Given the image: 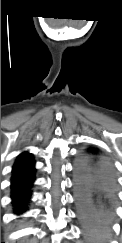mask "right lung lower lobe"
Listing matches in <instances>:
<instances>
[{"label": "right lung lower lobe", "instance_id": "98d812e1", "mask_svg": "<svg viewBox=\"0 0 122 243\" xmlns=\"http://www.w3.org/2000/svg\"><path fill=\"white\" fill-rule=\"evenodd\" d=\"M34 166H29L13 172L11 179V198L17 213L26 210V203L31 196V186L34 181Z\"/></svg>", "mask_w": 122, "mask_h": 243}]
</instances>
